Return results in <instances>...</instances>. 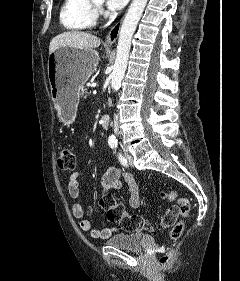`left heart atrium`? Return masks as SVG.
<instances>
[{"label": "left heart atrium", "mask_w": 240, "mask_h": 281, "mask_svg": "<svg viewBox=\"0 0 240 281\" xmlns=\"http://www.w3.org/2000/svg\"><path fill=\"white\" fill-rule=\"evenodd\" d=\"M129 0H107L108 7L112 10L123 8Z\"/></svg>", "instance_id": "left-heart-atrium-1"}]
</instances>
